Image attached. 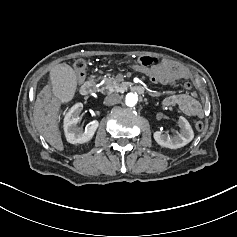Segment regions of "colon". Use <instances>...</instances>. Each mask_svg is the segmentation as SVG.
<instances>
[{
  "instance_id": "obj_1",
  "label": "colon",
  "mask_w": 237,
  "mask_h": 237,
  "mask_svg": "<svg viewBox=\"0 0 237 237\" xmlns=\"http://www.w3.org/2000/svg\"><path fill=\"white\" fill-rule=\"evenodd\" d=\"M137 64L143 68L151 71L150 80L155 83L167 84L169 83V78L162 72L161 64L157 58L142 56L138 59ZM73 68L78 76H83L86 72V63L83 60H77L73 64ZM204 123L202 121H197L195 123V128L197 131L204 130Z\"/></svg>"
}]
</instances>
